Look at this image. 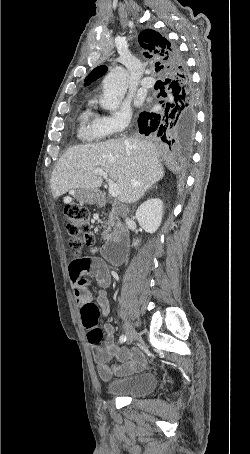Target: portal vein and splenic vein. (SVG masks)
I'll return each instance as SVG.
<instances>
[{"label":"portal vein and splenic vein","instance_id":"1","mask_svg":"<svg viewBox=\"0 0 250 454\" xmlns=\"http://www.w3.org/2000/svg\"><path fill=\"white\" fill-rule=\"evenodd\" d=\"M94 174L95 175H100L102 176L105 180L108 181L109 183V194L111 197L115 198L118 196L119 194V188L118 186L113 183L109 178H108V175L102 170V169H95L94 170Z\"/></svg>","mask_w":250,"mask_h":454}]
</instances>
